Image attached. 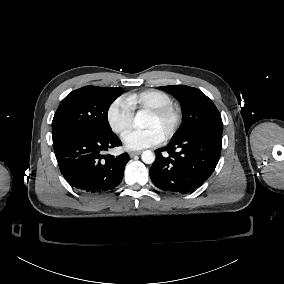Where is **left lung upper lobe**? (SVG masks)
Here are the masks:
<instances>
[{
  "instance_id": "1",
  "label": "left lung upper lobe",
  "mask_w": 284,
  "mask_h": 284,
  "mask_svg": "<svg viewBox=\"0 0 284 284\" xmlns=\"http://www.w3.org/2000/svg\"><path fill=\"white\" fill-rule=\"evenodd\" d=\"M160 89L175 96L183 109L182 125L173 138L198 131L222 133L223 123L219 111L199 89L185 85L161 86Z\"/></svg>"
}]
</instances>
